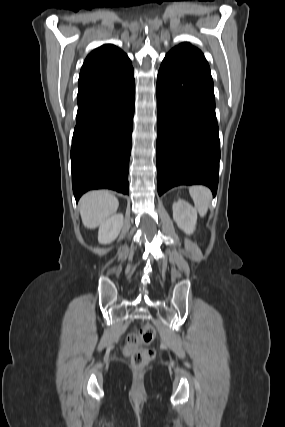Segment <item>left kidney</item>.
Here are the masks:
<instances>
[{
    "label": "left kidney",
    "instance_id": "1",
    "mask_svg": "<svg viewBox=\"0 0 285 427\" xmlns=\"http://www.w3.org/2000/svg\"><path fill=\"white\" fill-rule=\"evenodd\" d=\"M173 219L177 226L186 234L194 232L197 222V211L185 200L179 199L173 203Z\"/></svg>",
    "mask_w": 285,
    "mask_h": 427
}]
</instances>
